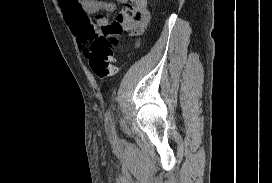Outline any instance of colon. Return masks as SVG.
I'll use <instances>...</instances> for the list:
<instances>
[{
	"label": "colon",
	"mask_w": 272,
	"mask_h": 183,
	"mask_svg": "<svg viewBox=\"0 0 272 183\" xmlns=\"http://www.w3.org/2000/svg\"><path fill=\"white\" fill-rule=\"evenodd\" d=\"M110 25H119L118 23H111ZM118 31L120 36L118 39L115 36H108L102 34L90 42V45L85 49V57L88 60L89 66L94 74L100 79L113 77L118 72L117 58L113 47L122 38V30Z\"/></svg>",
	"instance_id": "obj_1"
}]
</instances>
